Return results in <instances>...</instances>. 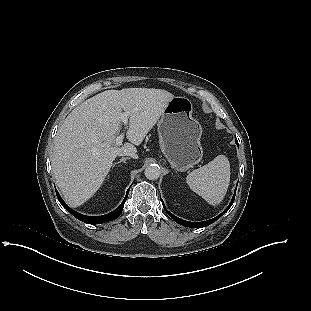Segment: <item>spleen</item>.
<instances>
[{
  "mask_svg": "<svg viewBox=\"0 0 311 311\" xmlns=\"http://www.w3.org/2000/svg\"><path fill=\"white\" fill-rule=\"evenodd\" d=\"M186 182L196 194L210 205H218L226 195L230 183V163L225 155H218L208 164L193 170Z\"/></svg>",
  "mask_w": 311,
  "mask_h": 311,
  "instance_id": "obj_1",
  "label": "spleen"
}]
</instances>
